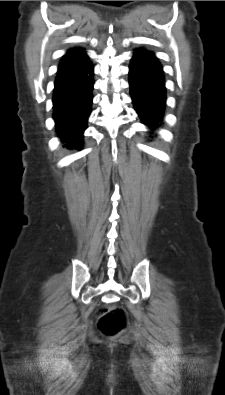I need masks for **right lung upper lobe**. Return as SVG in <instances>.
<instances>
[{
	"label": "right lung upper lobe",
	"mask_w": 225,
	"mask_h": 395,
	"mask_svg": "<svg viewBox=\"0 0 225 395\" xmlns=\"http://www.w3.org/2000/svg\"><path fill=\"white\" fill-rule=\"evenodd\" d=\"M89 57L86 55L85 51L81 48H71L62 57L58 70H67L71 68H77L88 63Z\"/></svg>",
	"instance_id": "1"
}]
</instances>
